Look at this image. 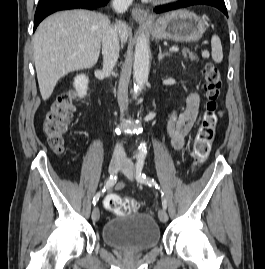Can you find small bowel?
Here are the masks:
<instances>
[{
  "mask_svg": "<svg viewBox=\"0 0 265 269\" xmlns=\"http://www.w3.org/2000/svg\"><path fill=\"white\" fill-rule=\"evenodd\" d=\"M200 106V98L196 93L188 96L186 101V108L183 112H173L167 124V131L170 138L171 146L175 150H180L185 144L186 136L191 132L196 121ZM124 187L123 183H118L114 190H120ZM108 192L112 189L108 188Z\"/></svg>",
  "mask_w": 265,
  "mask_h": 269,
  "instance_id": "c3829d8e",
  "label": "small bowel"
}]
</instances>
